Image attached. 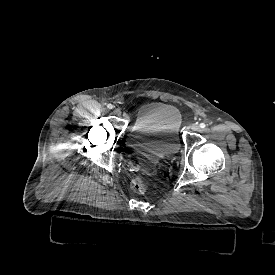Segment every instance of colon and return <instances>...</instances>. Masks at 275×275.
<instances>
[{
	"mask_svg": "<svg viewBox=\"0 0 275 275\" xmlns=\"http://www.w3.org/2000/svg\"><path fill=\"white\" fill-rule=\"evenodd\" d=\"M130 189L135 194H144L146 187L140 179L135 178L130 183Z\"/></svg>",
	"mask_w": 275,
	"mask_h": 275,
	"instance_id": "5ec220e1",
	"label": "colon"
}]
</instances>
